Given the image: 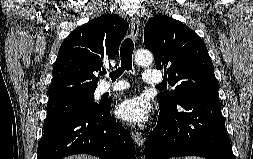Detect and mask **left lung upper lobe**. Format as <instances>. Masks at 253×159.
Instances as JSON below:
<instances>
[{
  "label": "left lung upper lobe",
  "instance_id": "left-lung-upper-lobe-1",
  "mask_svg": "<svg viewBox=\"0 0 253 159\" xmlns=\"http://www.w3.org/2000/svg\"><path fill=\"white\" fill-rule=\"evenodd\" d=\"M145 47L152 51L157 69L175 90L157 95L159 104L174 108L187 99H218V82L207 48L183 23L165 15L151 18L144 29Z\"/></svg>",
  "mask_w": 253,
  "mask_h": 159
}]
</instances>
